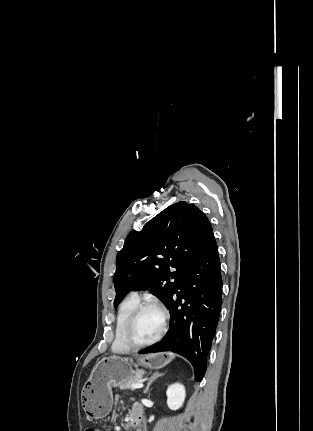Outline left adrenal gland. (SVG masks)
Listing matches in <instances>:
<instances>
[{
    "instance_id": "left-adrenal-gland-1",
    "label": "left adrenal gland",
    "mask_w": 313,
    "mask_h": 431,
    "mask_svg": "<svg viewBox=\"0 0 313 431\" xmlns=\"http://www.w3.org/2000/svg\"><path fill=\"white\" fill-rule=\"evenodd\" d=\"M164 374H162V373H158V372H155V373H153V375L149 378V380H148V383H147V386H146V388H145V390H144V394H146L148 391H149V388H150V386L152 385V383L155 381V380H157L159 377H161V376H163Z\"/></svg>"
}]
</instances>
